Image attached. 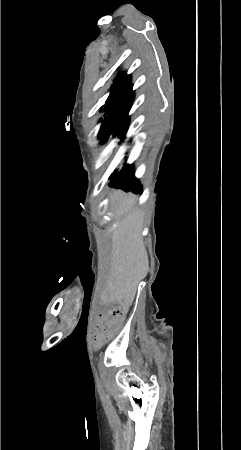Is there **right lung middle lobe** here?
<instances>
[{
  "label": "right lung middle lobe",
  "mask_w": 241,
  "mask_h": 450,
  "mask_svg": "<svg viewBox=\"0 0 241 450\" xmlns=\"http://www.w3.org/2000/svg\"><path fill=\"white\" fill-rule=\"evenodd\" d=\"M133 101L123 100L116 97L112 90L105 105L101 107L104 112V119L100 128L98 138L106 142L110 135L121 140L125 139V134L129 126L131 116L129 111Z\"/></svg>",
  "instance_id": "obj_1"
}]
</instances>
